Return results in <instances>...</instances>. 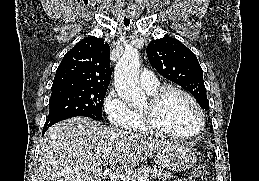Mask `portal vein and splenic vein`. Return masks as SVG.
<instances>
[{"instance_id": "18ae733b", "label": "portal vein and splenic vein", "mask_w": 259, "mask_h": 181, "mask_svg": "<svg viewBox=\"0 0 259 181\" xmlns=\"http://www.w3.org/2000/svg\"><path fill=\"white\" fill-rule=\"evenodd\" d=\"M104 160H108L109 156H104ZM111 181H135L133 178L129 176H125L123 174H117L112 171H107L106 173ZM139 181H148V178H141Z\"/></svg>"}]
</instances>
